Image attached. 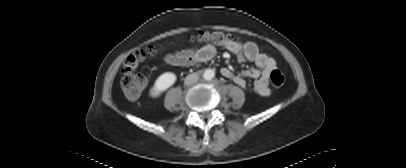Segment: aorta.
Here are the masks:
<instances>
[{
    "label": "aorta",
    "instance_id": "1",
    "mask_svg": "<svg viewBox=\"0 0 406 168\" xmlns=\"http://www.w3.org/2000/svg\"><path fill=\"white\" fill-rule=\"evenodd\" d=\"M215 73L212 69H206L203 73V77L206 80H211L214 77Z\"/></svg>",
    "mask_w": 406,
    "mask_h": 168
}]
</instances>
